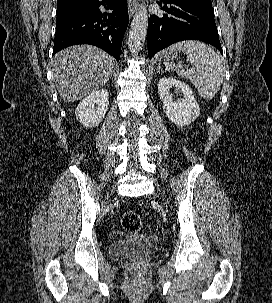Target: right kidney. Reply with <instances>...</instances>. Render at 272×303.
<instances>
[{
    "label": "right kidney",
    "instance_id": "right-kidney-1",
    "mask_svg": "<svg viewBox=\"0 0 272 303\" xmlns=\"http://www.w3.org/2000/svg\"><path fill=\"white\" fill-rule=\"evenodd\" d=\"M109 93L107 89H101L90 93L77 106L76 119L84 127H96L104 119L108 110Z\"/></svg>",
    "mask_w": 272,
    "mask_h": 303
}]
</instances>
